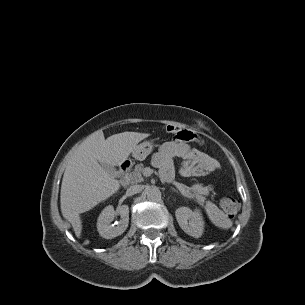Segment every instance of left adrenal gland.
Listing matches in <instances>:
<instances>
[{"label": "left adrenal gland", "mask_w": 305, "mask_h": 305, "mask_svg": "<svg viewBox=\"0 0 305 305\" xmlns=\"http://www.w3.org/2000/svg\"><path fill=\"white\" fill-rule=\"evenodd\" d=\"M172 190L174 191V192H178L176 189H174V188H172Z\"/></svg>", "instance_id": "obj_1"}]
</instances>
